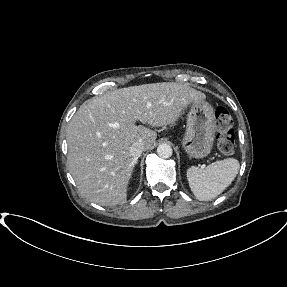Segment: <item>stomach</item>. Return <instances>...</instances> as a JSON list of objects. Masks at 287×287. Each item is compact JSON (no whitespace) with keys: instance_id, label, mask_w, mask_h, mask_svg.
Here are the masks:
<instances>
[{"instance_id":"obj_1","label":"stomach","mask_w":287,"mask_h":287,"mask_svg":"<svg viewBox=\"0 0 287 287\" xmlns=\"http://www.w3.org/2000/svg\"><path fill=\"white\" fill-rule=\"evenodd\" d=\"M216 118L213 107L205 102H194L187 117L186 133L181 140L183 150L196 159L208 156L215 138Z\"/></svg>"}]
</instances>
